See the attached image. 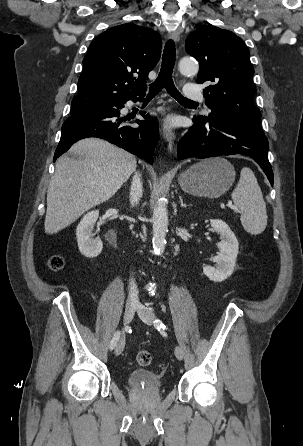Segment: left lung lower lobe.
I'll return each instance as SVG.
<instances>
[{
    "mask_svg": "<svg viewBox=\"0 0 303 446\" xmlns=\"http://www.w3.org/2000/svg\"><path fill=\"white\" fill-rule=\"evenodd\" d=\"M195 125L178 144V158H208L242 154L254 159L273 185V172L268 160V140L265 135L248 131L218 118L207 122L194 118Z\"/></svg>",
    "mask_w": 303,
    "mask_h": 446,
    "instance_id": "obj_1",
    "label": "left lung lower lobe"
}]
</instances>
